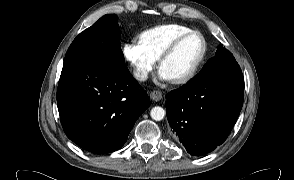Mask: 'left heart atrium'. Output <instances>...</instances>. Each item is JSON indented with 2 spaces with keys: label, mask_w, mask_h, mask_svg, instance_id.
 Returning a JSON list of instances; mask_svg holds the SVG:
<instances>
[{
  "label": "left heart atrium",
  "mask_w": 294,
  "mask_h": 180,
  "mask_svg": "<svg viewBox=\"0 0 294 180\" xmlns=\"http://www.w3.org/2000/svg\"><path fill=\"white\" fill-rule=\"evenodd\" d=\"M158 77L161 81H169L170 80V78L166 75V73L161 69L158 73Z\"/></svg>",
  "instance_id": "left-heart-atrium-1"
}]
</instances>
